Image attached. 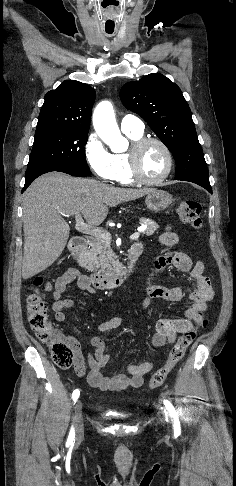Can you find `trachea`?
<instances>
[{"label": "trachea", "mask_w": 236, "mask_h": 486, "mask_svg": "<svg viewBox=\"0 0 236 486\" xmlns=\"http://www.w3.org/2000/svg\"><path fill=\"white\" fill-rule=\"evenodd\" d=\"M108 34H111L112 32H107Z\"/></svg>", "instance_id": "obj_1"}]
</instances>
